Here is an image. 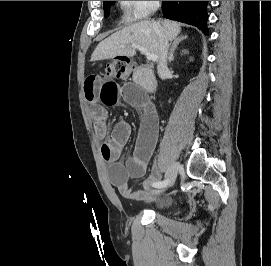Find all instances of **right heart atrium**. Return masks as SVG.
<instances>
[{"instance_id":"d8ad5b80","label":"right heart atrium","mask_w":271,"mask_h":266,"mask_svg":"<svg viewBox=\"0 0 271 266\" xmlns=\"http://www.w3.org/2000/svg\"><path fill=\"white\" fill-rule=\"evenodd\" d=\"M125 18L139 22L151 15L159 6V1H120Z\"/></svg>"}]
</instances>
